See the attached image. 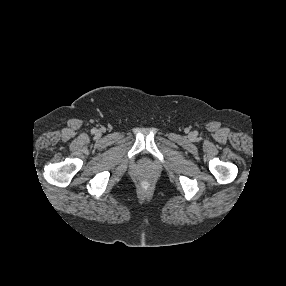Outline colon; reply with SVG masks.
<instances>
[{
	"label": "colon",
	"mask_w": 286,
	"mask_h": 286,
	"mask_svg": "<svg viewBox=\"0 0 286 286\" xmlns=\"http://www.w3.org/2000/svg\"><path fill=\"white\" fill-rule=\"evenodd\" d=\"M140 185L142 188H147L150 185V182L148 179L144 178V179H141Z\"/></svg>",
	"instance_id": "5ec220e1"
}]
</instances>
